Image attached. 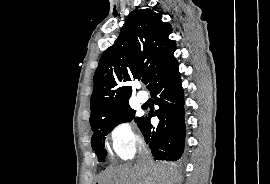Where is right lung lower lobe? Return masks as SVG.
<instances>
[{"label":"right lung lower lobe","instance_id":"1","mask_svg":"<svg viewBox=\"0 0 270 184\" xmlns=\"http://www.w3.org/2000/svg\"><path fill=\"white\" fill-rule=\"evenodd\" d=\"M150 93L159 106L154 113L159 124L153 127L150 117H143L139 128L155 160L176 161L183 153L186 135L184 94L177 62L153 83Z\"/></svg>","mask_w":270,"mask_h":184}]
</instances>
